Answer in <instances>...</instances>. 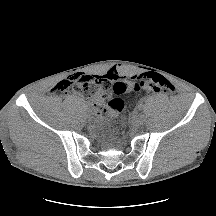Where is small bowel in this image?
Returning <instances> with one entry per match:
<instances>
[{
	"label": "small bowel",
	"instance_id": "c3829d8e",
	"mask_svg": "<svg viewBox=\"0 0 216 216\" xmlns=\"http://www.w3.org/2000/svg\"><path fill=\"white\" fill-rule=\"evenodd\" d=\"M104 76H106L111 81H116V80H120L121 78H123L116 70H110ZM104 101L105 100L101 95H96L94 97L95 110L97 113H100L101 107L103 106Z\"/></svg>",
	"mask_w": 216,
	"mask_h": 216
}]
</instances>
